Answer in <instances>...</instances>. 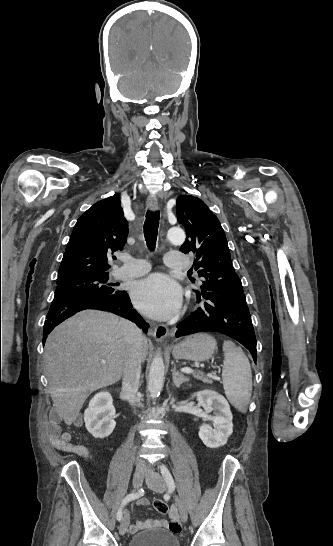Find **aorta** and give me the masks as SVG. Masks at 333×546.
Listing matches in <instances>:
<instances>
[{"label":"aorta","instance_id":"obj_1","mask_svg":"<svg viewBox=\"0 0 333 546\" xmlns=\"http://www.w3.org/2000/svg\"><path fill=\"white\" fill-rule=\"evenodd\" d=\"M169 242L181 245L185 240V233L180 228H171L167 231ZM165 367L161 356H156L151 364L149 372L148 390L152 399L159 396L163 388Z\"/></svg>","mask_w":333,"mask_h":546}]
</instances>
